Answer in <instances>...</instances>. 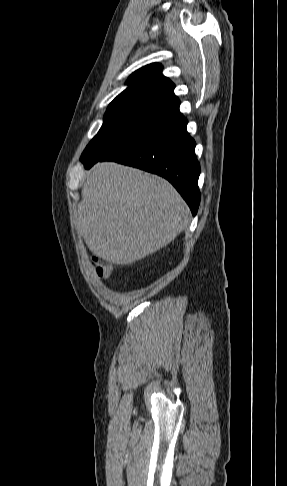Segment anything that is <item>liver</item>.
Returning <instances> with one entry per match:
<instances>
[{
  "mask_svg": "<svg viewBox=\"0 0 287 486\" xmlns=\"http://www.w3.org/2000/svg\"><path fill=\"white\" fill-rule=\"evenodd\" d=\"M76 226L91 252L129 265L169 244L189 209L165 179L114 162L96 164L82 186Z\"/></svg>",
  "mask_w": 287,
  "mask_h": 486,
  "instance_id": "obj_1",
  "label": "liver"
}]
</instances>
